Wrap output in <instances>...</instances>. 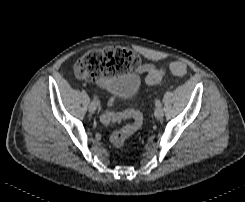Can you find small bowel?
<instances>
[{
  "instance_id": "c3829d8e",
  "label": "small bowel",
  "mask_w": 245,
  "mask_h": 202,
  "mask_svg": "<svg viewBox=\"0 0 245 202\" xmlns=\"http://www.w3.org/2000/svg\"><path fill=\"white\" fill-rule=\"evenodd\" d=\"M159 70L156 65L152 62H138L135 68V74H143L145 75V82L148 85H155L158 84L160 82V80H156L154 78V72ZM111 81L107 80V79H102L97 81V85L103 89V90H107L109 85H110ZM118 101L116 95L112 94L111 97L109 98V106H113L116 104V102Z\"/></svg>"
}]
</instances>
